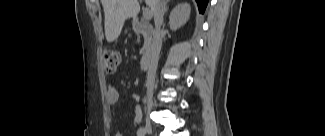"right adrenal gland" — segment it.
Returning a JSON list of instances; mask_svg holds the SVG:
<instances>
[{
    "mask_svg": "<svg viewBox=\"0 0 325 136\" xmlns=\"http://www.w3.org/2000/svg\"><path fill=\"white\" fill-rule=\"evenodd\" d=\"M170 2V0H164L163 1V10H162V17L164 18V15L166 14L168 7H167V3Z\"/></svg>",
    "mask_w": 325,
    "mask_h": 136,
    "instance_id": "2a0ac1e0",
    "label": "right adrenal gland"
}]
</instances>
